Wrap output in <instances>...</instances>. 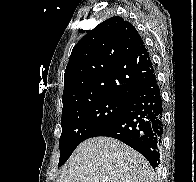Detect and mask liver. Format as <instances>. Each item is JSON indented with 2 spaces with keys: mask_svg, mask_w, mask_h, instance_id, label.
Returning <instances> with one entry per match:
<instances>
[{
  "mask_svg": "<svg viewBox=\"0 0 196 182\" xmlns=\"http://www.w3.org/2000/svg\"><path fill=\"white\" fill-rule=\"evenodd\" d=\"M57 182H156L148 161L109 137L82 142L62 169Z\"/></svg>",
  "mask_w": 196,
  "mask_h": 182,
  "instance_id": "6515ba94",
  "label": "liver"
}]
</instances>
